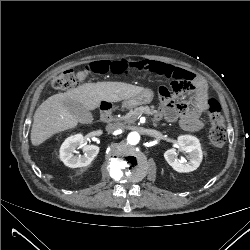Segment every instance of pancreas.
Masks as SVG:
<instances>
[{
	"mask_svg": "<svg viewBox=\"0 0 250 250\" xmlns=\"http://www.w3.org/2000/svg\"><path fill=\"white\" fill-rule=\"evenodd\" d=\"M154 106H140L134 110H130L125 116L116 119L117 123L123 122L126 124L134 123L142 114L152 115L156 114Z\"/></svg>",
	"mask_w": 250,
	"mask_h": 250,
	"instance_id": "cf45deb5",
	"label": "pancreas"
}]
</instances>
